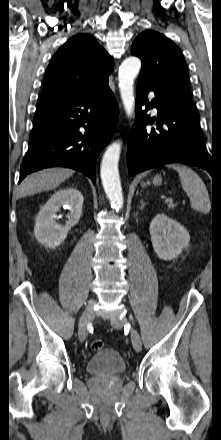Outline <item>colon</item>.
Returning a JSON list of instances; mask_svg holds the SVG:
<instances>
[{
  "label": "colon",
  "instance_id": "colon-1",
  "mask_svg": "<svg viewBox=\"0 0 221 440\" xmlns=\"http://www.w3.org/2000/svg\"><path fill=\"white\" fill-rule=\"evenodd\" d=\"M91 348L94 351H100L104 348V342L102 340L96 339L91 343Z\"/></svg>",
  "mask_w": 221,
  "mask_h": 440
}]
</instances>
